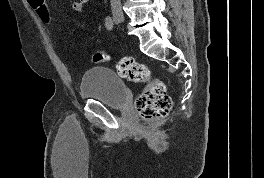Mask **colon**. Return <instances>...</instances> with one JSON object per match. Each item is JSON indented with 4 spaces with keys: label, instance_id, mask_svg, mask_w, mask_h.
<instances>
[{
    "label": "colon",
    "instance_id": "colon-1",
    "mask_svg": "<svg viewBox=\"0 0 264 178\" xmlns=\"http://www.w3.org/2000/svg\"><path fill=\"white\" fill-rule=\"evenodd\" d=\"M27 2L42 22L45 24L52 22L45 0H27ZM111 59L110 54L102 51L95 52L91 57L92 62L96 64L109 62ZM116 70L125 79L146 84L135 100V108L142 118L155 120L168 114L171 109V99L166 86L161 80L152 76L147 65L137 62L132 57H122L116 62Z\"/></svg>",
    "mask_w": 264,
    "mask_h": 178
}]
</instances>
